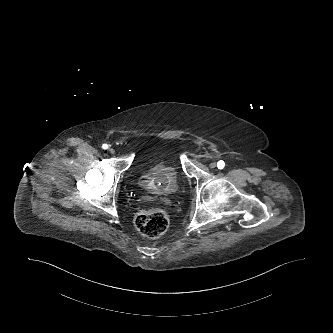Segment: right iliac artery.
Masks as SVG:
<instances>
[{
    "label": "right iliac artery",
    "mask_w": 333,
    "mask_h": 333,
    "mask_svg": "<svg viewBox=\"0 0 333 333\" xmlns=\"http://www.w3.org/2000/svg\"><path fill=\"white\" fill-rule=\"evenodd\" d=\"M102 148H103L104 150H106V149H108V145H107V144H103V145H102Z\"/></svg>",
    "instance_id": "right-iliac-artery-1"
}]
</instances>
